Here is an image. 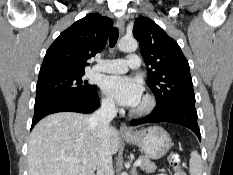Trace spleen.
Instances as JSON below:
<instances>
[{
    "mask_svg": "<svg viewBox=\"0 0 233 175\" xmlns=\"http://www.w3.org/2000/svg\"><path fill=\"white\" fill-rule=\"evenodd\" d=\"M189 164L191 175H202V159L196 150L191 152Z\"/></svg>",
    "mask_w": 233,
    "mask_h": 175,
    "instance_id": "spleen-1",
    "label": "spleen"
}]
</instances>
